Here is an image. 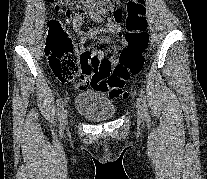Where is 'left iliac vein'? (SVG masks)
<instances>
[{"mask_svg":"<svg viewBox=\"0 0 207 179\" xmlns=\"http://www.w3.org/2000/svg\"><path fill=\"white\" fill-rule=\"evenodd\" d=\"M137 114H138V118L141 120V121H144L146 119L145 117V113H144V109H143V105H142V102L140 100V98L137 99Z\"/></svg>","mask_w":207,"mask_h":179,"instance_id":"1","label":"left iliac vein"}]
</instances>
